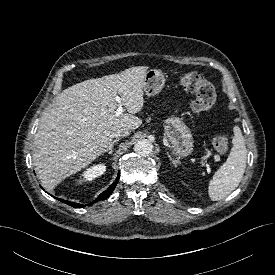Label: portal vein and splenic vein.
I'll use <instances>...</instances> for the list:
<instances>
[{
  "label": "portal vein and splenic vein",
  "mask_w": 275,
  "mask_h": 275,
  "mask_svg": "<svg viewBox=\"0 0 275 275\" xmlns=\"http://www.w3.org/2000/svg\"><path fill=\"white\" fill-rule=\"evenodd\" d=\"M116 100H117V102H118V108H117V110L115 111V114H116L117 116H119V115H121V114L124 112V108H123V105H122V103H121V98H120L119 96L116 97ZM206 168L209 169L208 164H206Z\"/></svg>",
  "instance_id": "1"
}]
</instances>
